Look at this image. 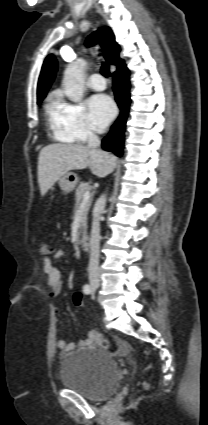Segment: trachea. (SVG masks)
I'll use <instances>...</instances> for the list:
<instances>
[{"mask_svg": "<svg viewBox=\"0 0 208 425\" xmlns=\"http://www.w3.org/2000/svg\"><path fill=\"white\" fill-rule=\"evenodd\" d=\"M101 73H102V75H104L105 77H109V76H110L109 65H108L107 63H102V66H101Z\"/></svg>", "mask_w": 208, "mask_h": 425, "instance_id": "1", "label": "trachea"}]
</instances>
